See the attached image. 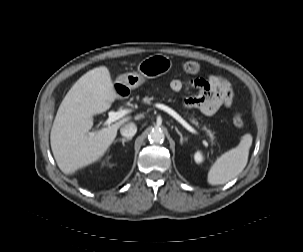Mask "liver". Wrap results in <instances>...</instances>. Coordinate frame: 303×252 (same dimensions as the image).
Segmentation results:
<instances>
[{
  "mask_svg": "<svg viewBox=\"0 0 303 252\" xmlns=\"http://www.w3.org/2000/svg\"><path fill=\"white\" fill-rule=\"evenodd\" d=\"M107 67H96L71 87L61 102L50 134L51 149L60 170L74 174L99 160L108 150L125 117L93 136V116L107 111L117 98Z\"/></svg>",
  "mask_w": 303,
  "mask_h": 252,
  "instance_id": "6515ba94",
  "label": "liver"
}]
</instances>
